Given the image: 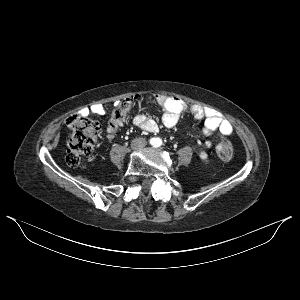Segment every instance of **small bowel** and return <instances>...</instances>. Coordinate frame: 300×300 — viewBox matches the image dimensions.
<instances>
[{
    "label": "small bowel",
    "mask_w": 300,
    "mask_h": 300,
    "mask_svg": "<svg viewBox=\"0 0 300 300\" xmlns=\"http://www.w3.org/2000/svg\"><path fill=\"white\" fill-rule=\"evenodd\" d=\"M156 102L164 108L163 124L168 128L177 125L181 113L188 112L195 119L204 121L203 132L206 135H210L214 131H217L219 136H228L233 133L232 124L214 109L197 104H189L182 99L168 95L157 96ZM82 113L104 116L107 113V109L103 104H95L84 109ZM132 122L136 127L148 132H157L159 129L157 122L145 114H135ZM206 146H212L211 139L206 141Z\"/></svg>",
    "instance_id": "small-bowel-1"
}]
</instances>
